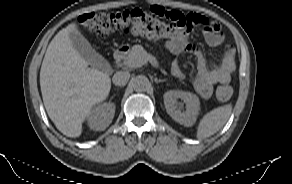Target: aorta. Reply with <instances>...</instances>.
I'll return each instance as SVG.
<instances>
[{
	"label": "aorta",
	"instance_id": "762f6f07",
	"mask_svg": "<svg viewBox=\"0 0 292 184\" xmlns=\"http://www.w3.org/2000/svg\"><path fill=\"white\" fill-rule=\"evenodd\" d=\"M133 89L137 92H144L149 89L150 82L147 77L139 75L133 79Z\"/></svg>",
	"mask_w": 292,
	"mask_h": 184
}]
</instances>
